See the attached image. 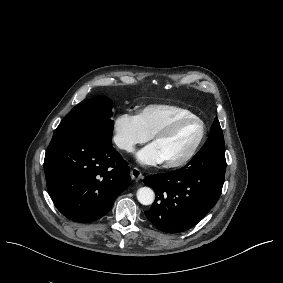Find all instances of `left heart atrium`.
Returning <instances> with one entry per match:
<instances>
[{
    "label": "left heart atrium",
    "mask_w": 283,
    "mask_h": 283,
    "mask_svg": "<svg viewBox=\"0 0 283 283\" xmlns=\"http://www.w3.org/2000/svg\"><path fill=\"white\" fill-rule=\"evenodd\" d=\"M136 160L142 166L152 167L164 163L165 157L158 142L154 141L137 151Z\"/></svg>",
    "instance_id": "left-heart-atrium-1"
}]
</instances>
